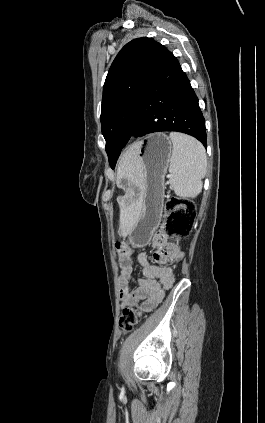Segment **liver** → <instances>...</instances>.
<instances>
[{"instance_id": "obj_1", "label": "liver", "mask_w": 265, "mask_h": 423, "mask_svg": "<svg viewBox=\"0 0 265 423\" xmlns=\"http://www.w3.org/2000/svg\"><path fill=\"white\" fill-rule=\"evenodd\" d=\"M138 143L133 144L130 148L120 157L118 170H117V185L122 180H126L134 185H139L142 181V169L136 161V151L138 149ZM141 209L139 200H135L130 197L128 202H122L120 204V225L119 233L125 237L133 224L136 222Z\"/></svg>"}]
</instances>
